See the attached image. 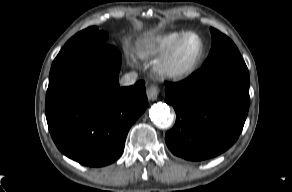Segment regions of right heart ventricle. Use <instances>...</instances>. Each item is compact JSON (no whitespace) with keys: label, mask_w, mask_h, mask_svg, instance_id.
I'll use <instances>...</instances> for the list:
<instances>
[{"label":"right heart ventricle","mask_w":292,"mask_h":192,"mask_svg":"<svg viewBox=\"0 0 292 192\" xmlns=\"http://www.w3.org/2000/svg\"><path fill=\"white\" fill-rule=\"evenodd\" d=\"M185 31H172L145 40L138 46V54L143 58H163Z\"/></svg>","instance_id":"1"}]
</instances>
